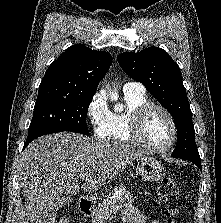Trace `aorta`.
Here are the masks:
<instances>
[{"label":"aorta","instance_id":"obj_1","mask_svg":"<svg viewBox=\"0 0 221 223\" xmlns=\"http://www.w3.org/2000/svg\"><path fill=\"white\" fill-rule=\"evenodd\" d=\"M109 96H110V99L112 101H116L118 99V94L116 92H111V90H109ZM115 110L116 111H122L123 110V105L122 104H116Z\"/></svg>","mask_w":221,"mask_h":223}]
</instances>
